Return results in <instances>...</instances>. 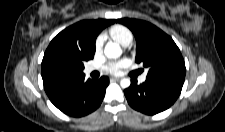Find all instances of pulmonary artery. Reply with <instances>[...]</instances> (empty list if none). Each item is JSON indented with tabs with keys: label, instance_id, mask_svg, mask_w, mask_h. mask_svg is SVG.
I'll use <instances>...</instances> for the list:
<instances>
[{
	"label": "pulmonary artery",
	"instance_id": "pulmonary-artery-1",
	"mask_svg": "<svg viewBox=\"0 0 225 132\" xmlns=\"http://www.w3.org/2000/svg\"><path fill=\"white\" fill-rule=\"evenodd\" d=\"M93 70H94L93 67H88V68H86V72H87V73H90V72H92ZM145 80H146V75H142V76L139 78V82H140V83H143Z\"/></svg>",
	"mask_w": 225,
	"mask_h": 132
}]
</instances>
